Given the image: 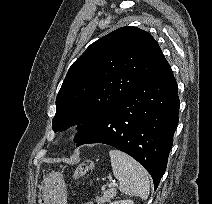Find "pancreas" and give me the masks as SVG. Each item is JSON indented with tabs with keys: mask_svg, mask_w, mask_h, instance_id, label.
I'll list each match as a JSON object with an SVG mask.
<instances>
[{
	"mask_svg": "<svg viewBox=\"0 0 212 204\" xmlns=\"http://www.w3.org/2000/svg\"><path fill=\"white\" fill-rule=\"evenodd\" d=\"M116 188H110L107 191H104L100 197L96 198L97 204H105L109 202L111 199H113L116 196Z\"/></svg>",
	"mask_w": 212,
	"mask_h": 204,
	"instance_id": "cf45deb5",
	"label": "pancreas"
}]
</instances>
